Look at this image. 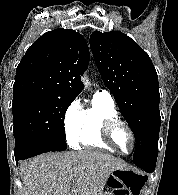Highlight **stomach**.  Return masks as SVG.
Wrapping results in <instances>:
<instances>
[{
    "label": "stomach",
    "instance_id": "0dacf381",
    "mask_svg": "<svg viewBox=\"0 0 178 195\" xmlns=\"http://www.w3.org/2000/svg\"><path fill=\"white\" fill-rule=\"evenodd\" d=\"M131 176L129 169L114 170L107 179V187L102 195H127L129 188L127 179Z\"/></svg>",
    "mask_w": 178,
    "mask_h": 195
}]
</instances>
